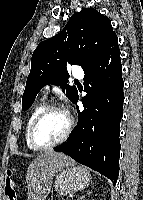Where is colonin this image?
<instances>
[{
  "mask_svg": "<svg viewBox=\"0 0 143 200\" xmlns=\"http://www.w3.org/2000/svg\"><path fill=\"white\" fill-rule=\"evenodd\" d=\"M15 186H16L15 181L12 178L11 173L9 172L5 184V200H17Z\"/></svg>",
  "mask_w": 143,
  "mask_h": 200,
  "instance_id": "colon-1",
  "label": "colon"
}]
</instances>
